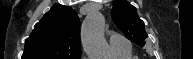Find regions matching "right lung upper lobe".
<instances>
[{
    "label": "right lung upper lobe",
    "instance_id": "right-lung-upper-lobe-1",
    "mask_svg": "<svg viewBox=\"0 0 193 59\" xmlns=\"http://www.w3.org/2000/svg\"><path fill=\"white\" fill-rule=\"evenodd\" d=\"M22 59H81L80 20L76 11L55 4L26 39Z\"/></svg>",
    "mask_w": 193,
    "mask_h": 59
}]
</instances>
